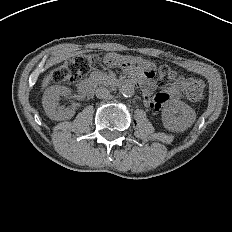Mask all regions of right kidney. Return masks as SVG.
<instances>
[{
	"mask_svg": "<svg viewBox=\"0 0 232 232\" xmlns=\"http://www.w3.org/2000/svg\"><path fill=\"white\" fill-rule=\"evenodd\" d=\"M71 89L66 86L53 85L47 88L42 98V105L46 115L56 121L71 119L75 111L59 106L60 96H69Z\"/></svg>",
	"mask_w": 232,
	"mask_h": 232,
	"instance_id": "right-kidney-1",
	"label": "right kidney"
}]
</instances>
